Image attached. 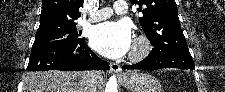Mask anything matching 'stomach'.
I'll list each match as a JSON object with an SVG mask.
<instances>
[{
  "mask_svg": "<svg viewBox=\"0 0 225 92\" xmlns=\"http://www.w3.org/2000/svg\"><path fill=\"white\" fill-rule=\"evenodd\" d=\"M122 83L132 92H162L159 81L145 73H126L122 76Z\"/></svg>",
  "mask_w": 225,
  "mask_h": 92,
  "instance_id": "0dacf381",
  "label": "stomach"
}]
</instances>
